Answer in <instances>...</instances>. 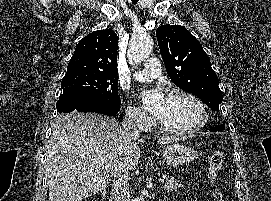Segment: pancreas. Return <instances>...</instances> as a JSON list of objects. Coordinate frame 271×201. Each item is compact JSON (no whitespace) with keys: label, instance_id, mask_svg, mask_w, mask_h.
<instances>
[{"label":"pancreas","instance_id":"cf45deb5","mask_svg":"<svg viewBox=\"0 0 271 201\" xmlns=\"http://www.w3.org/2000/svg\"><path fill=\"white\" fill-rule=\"evenodd\" d=\"M166 181L164 183V188L167 190V191H174L176 192L177 189L181 186H183L182 184L178 183L177 180H175L174 178H169V177H165Z\"/></svg>","mask_w":271,"mask_h":201}]
</instances>
